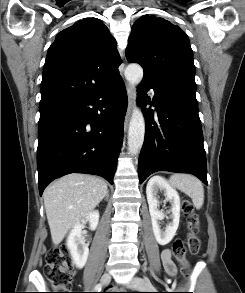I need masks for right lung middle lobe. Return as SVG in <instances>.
I'll return each mask as SVG.
<instances>
[{"label": "right lung middle lobe", "mask_w": 245, "mask_h": 293, "mask_svg": "<svg viewBox=\"0 0 245 293\" xmlns=\"http://www.w3.org/2000/svg\"><path fill=\"white\" fill-rule=\"evenodd\" d=\"M62 106L40 108V120H43L56 113Z\"/></svg>", "instance_id": "1"}]
</instances>
